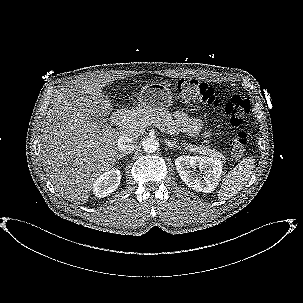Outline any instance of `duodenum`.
<instances>
[{
	"instance_id": "410a0bca",
	"label": "duodenum",
	"mask_w": 303,
	"mask_h": 303,
	"mask_svg": "<svg viewBox=\"0 0 303 303\" xmlns=\"http://www.w3.org/2000/svg\"><path fill=\"white\" fill-rule=\"evenodd\" d=\"M124 118H125V112L120 110V111H116L113 114L111 120L113 124H119L124 120Z\"/></svg>"
}]
</instances>
